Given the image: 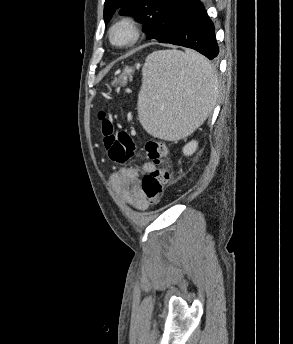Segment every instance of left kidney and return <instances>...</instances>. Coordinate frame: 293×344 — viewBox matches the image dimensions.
I'll return each mask as SVG.
<instances>
[{"label": "left kidney", "instance_id": "obj_1", "mask_svg": "<svg viewBox=\"0 0 293 344\" xmlns=\"http://www.w3.org/2000/svg\"><path fill=\"white\" fill-rule=\"evenodd\" d=\"M197 148L198 142L196 140H192L183 147V154L185 156H190L197 150Z\"/></svg>", "mask_w": 293, "mask_h": 344}]
</instances>
